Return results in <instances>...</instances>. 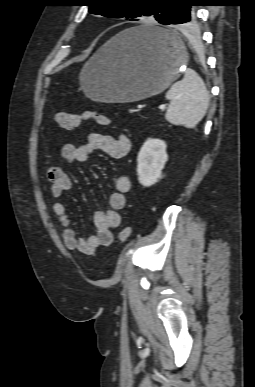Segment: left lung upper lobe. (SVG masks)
<instances>
[{"mask_svg":"<svg viewBox=\"0 0 255 387\" xmlns=\"http://www.w3.org/2000/svg\"><path fill=\"white\" fill-rule=\"evenodd\" d=\"M182 1L185 0H84V3L91 14L131 21L153 15L159 23L165 24L174 6Z\"/></svg>","mask_w":255,"mask_h":387,"instance_id":"obj_1","label":"left lung upper lobe"}]
</instances>
